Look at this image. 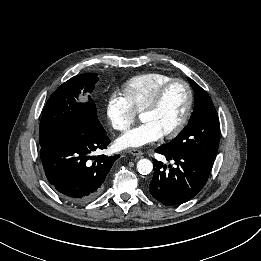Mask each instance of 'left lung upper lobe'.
I'll return each instance as SVG.
<instances>
[{"instance_id":"5c2ea615","label":"left lung upper lobe","mask_w":261,"mask_h":261,"mask_svg":"<svg viewBox=\"0 0 261 261\" xmlns=\"http://www.w3.org/2000/svg\"><path fill=\"white\" fill-rule=\"evenodd\" d=\"M195 92V107L187 126L167 149L186 151L202 161L213 164L220 138V124L216 109L209 95L192 79L188 78Z\"/></svg>"}]
</instances>
